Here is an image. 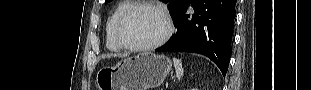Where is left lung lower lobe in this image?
Segmentation results:
<instances>
[{
	"label": "left lung lower lobe",
	"instance_id": "obj_1",
	"mask_svg": "<svg viewBox=\"0 0 311 90\" xmlns=\"http://www.w3.org/2000/svg\"><path fill=\"white\" fill-rule=\"evenodd\" d=\"M235 5L236 0H192L177 18L176 35L156 51L203 54L225 76L232 50ZM190 6L194 9L191 16Z\"/></svg>",
	"mask_w": 311,
	"mask_h": 90
}]
</instances>
